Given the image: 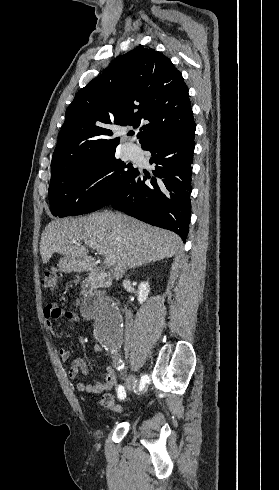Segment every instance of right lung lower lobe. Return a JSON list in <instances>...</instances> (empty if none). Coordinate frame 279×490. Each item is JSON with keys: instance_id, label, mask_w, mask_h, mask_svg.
I'll return each mask as SVG.
<instances>
[{"instance_id": "98d812e1", "label": "right lung lower lobe", "mask_w": 279, "mask_h": 490, "mask_svg": "<svg viewBox=\"0 0 279 490\" xmlns=\"http://www.w3.org/2000/svg\"><path fill=\"white\" fill-rule=\"evenodd\" d=\"M196 125L142 147L150 151L154 175L147 178L140 171L128 179L107 202L141 221L177 233L187 239L191 214V175ZM149 178V177H148Z\"/></svg>"}]
</instances>
